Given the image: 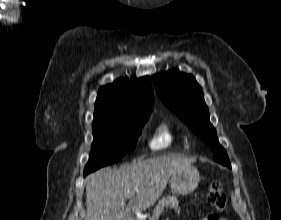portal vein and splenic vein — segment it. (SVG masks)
I'll return each mask as SVG.
<instances>
[{
    "mask_svg": "<svg viewBox=\"0 0 281 220\" xmlns=\"http://www.w3.org/2000/svg\"><path fill=\"white\" fill-rule=\"evenodd\" d=\"M131 193H132V192L128 190V191H127V196H129Z\"/></svg>",
    "mask_w": 281,
    "mask_h": 220,
    "instance_id": "obj_1",
    "label": "portal vein and splenic vein"
}]
</instances>
